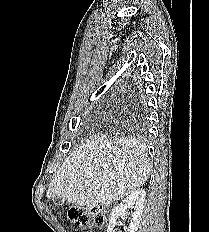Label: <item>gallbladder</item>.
Returning a JSON list of instances; mask_svg holds the SVG:
<instances>
[{
    "label": "gallbladder",
    "instance_id": "1",
    "mask_svg": "<svg viewBox=\"0 0 209 232\" xmlns=\"http://www.w3.org/2000/svg\"><path fill=\"white\" fill-rule=\"evenodd\" d=\"M53 203L56 205V206H61L64 204V200L59 197V196H56L53 198Z\"/></svg>",
    "mask_w": 209,
    "mask_h": 232
}]
</instances>
